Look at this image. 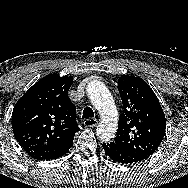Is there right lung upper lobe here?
Wrapping results in <instances>:
<instances>
[{
    "label": "right lung upper lobe",
    "instance_id": "right-lung-upper-lobe-1",
    "mask_svg": "<svg viewBox=\"0 0 188 188\" xmlns=\"http://www.w3.org/2000/svg\"><path fill=\"white\" fill-rule=\"evenodd\" d=\"M73 77L50 74L17 101L12 113L14 135L34 159L72 146L79 131L76 107L68 97Z\"/></svg>",
    "mask_w": 188,
    "mask_h": 188
}]
</instances>
